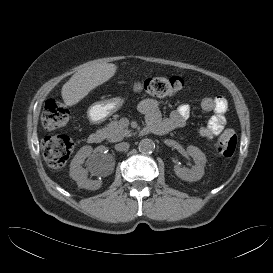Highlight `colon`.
<instances>
[{"instance_id":"colon-1","label":"colon","mask_w":273,"mask_h":273,"mask_svg":"<svg viewBox=\"0 0 273 273\" xmlns=\"http://www.w3.org/2000/svg\"><path fill=\"white\" fill-rule=\"evenodd\" d=\"M183 80L178 76L152 77L132 83L129 88L137 94L160 98L172 96L182 89ZM70 119V110L62 102L50 99L46 101L42 114L45 128L52 130L64 126ZM237 147V136L225 131L217 140L215 150L223 159H230ZM74 149V141L65 135L46 137L42 141V151L47 164L53 169L62 168Z\"/></svg>"}]
</instances>
